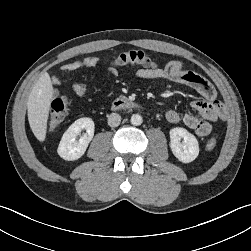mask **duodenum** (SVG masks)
<instances>
[{
	"instance_id": "duodenum-1",
	"label": "duodenum",
	"mask_w": 251,
	"mask_h": 251,
	"mask_svg": "<svg viewBox=\"0 0 251 251\" xmlns=\"http://www.w3.org/2000/svg\"><path fill=\"white\" fill-rule=\"evenodd\" d=\"M137 106L138 104L125 97L116 98L111 104L113 110L131 109Z\"/></svg>"
}]
</instances>
